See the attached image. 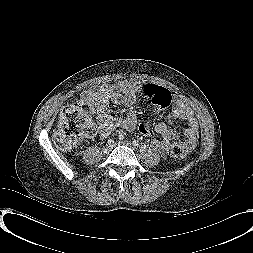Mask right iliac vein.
<instances>
[{"label":"right iliac vein","mask_w":253,"mask_h":253,"mask_svg":"<svg viewBox=\"0 0 253 253\" xmlns=\"http://www.w3.org/2000/svg\"><path fill=\"white\" fill-rule=\"evenodd\" d=\"M113 145H105L102 149L103 153H109L112 149Z\"/></svg>","instance_id":"63e3f726"}]
</instances>
